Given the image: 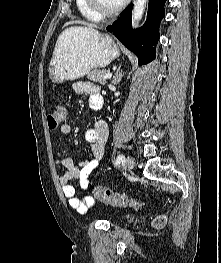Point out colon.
Returning <instances> with one entry per match:
<instances>
[{
    "label": "colon",
    "mask_w": 221,
    "mask_h": 263,
    "mask_svg": "<svg viewBox=\"0 0 221 263\" xmlns=\"http://www.w3.org/2000/svg\"><path fill=\"white\" fill-rule=\"evenodd\" d=\"M66 116V110L63 105H56L50 109L47 115V124L49 129H57ZM93 193L97 199L100 201L120 207V208H131V209H140L141 203L136 199L130 198L124 194L114 192L110 189L104 187H94ZM166 222V217L162 214L157 215L153 220V225L157 228L164 226Z\"/></svg>",
    "instance_id": "obj_1"
}]
</instances>
